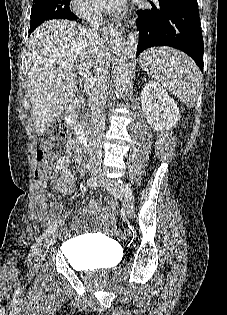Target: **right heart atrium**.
<instances>
[{"label": "right heart atrium", "instance_id": "right-heart-atrium-1", "mask_svg": "<svg viewBox=\"0 0 227 315\" xmlns=\"http://www.w3.org/2000/svg\"><path fill=\"white\" fill-rule=\"evenodd\" d=\"M71 10L78 16L90 21L97 17L98 12L89 0H71Z\"/></svg>", "mask_w": 227, "mask_h": 315}]
</instances>
